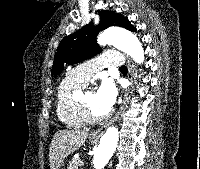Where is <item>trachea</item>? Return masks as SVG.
<instances>
[{
  "mask_svg": "<svg viewBox=\"0 0 200 169\" xmlns=\"http://www.w3.org/2000/svg\"><path fill=\"white\" fill-rule=\"evenodd\" d=\"M119 70H121V71H128L126 66H121V67L119 68Z\"/></svg>",
  "mask_w": 200,
  "mask_h": 169,
  "instance_id": "trachea-1",
  "label": "trachea"
}]
</instances>
